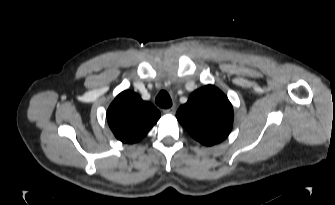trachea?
Segmentation results:
<instances>
[{
    "label": "trachea",
    "mask_w": 335,
    "mask_h": 205,
    "mask_svg": "<svg viewBox=\"0 0 335 205\" xmlns=\"http://www.w3.org/2000/svg\"><path fill=\"white\" fill-rule=\"evenodd\" d=\"M156 104L164 109L172 106V100L166 91H160L155 99Z\"/></svg>",
    "instance_id": "1"
}]
</instances>
